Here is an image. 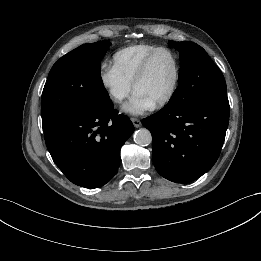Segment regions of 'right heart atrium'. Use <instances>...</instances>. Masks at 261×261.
Returning a JSON list of instances; mask_svg holds the SVG:
<instances>
[{"instance_id": "right-heart-atrium-1", "label": "right heart atrium", "mask_w": 261, "mask_h": 261, "mask_svg": "<svg viewBox=\"0 0 261 261\" xmlns=\"http://www.w3.org/2000/svg\"><path fill=\"white\" fill-rule=\"evenodd\" d=\"M99 81L112 102L122 103L131 93L132 84L111 66L104 65L99 72Z\"/></svg>"}]
</instances>
